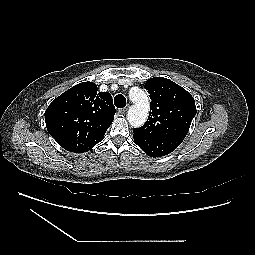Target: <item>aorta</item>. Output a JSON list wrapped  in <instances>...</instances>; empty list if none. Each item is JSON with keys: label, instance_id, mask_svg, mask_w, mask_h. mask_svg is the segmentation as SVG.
Returning a JSON list of instances; mask_svg holds the SVG:
<instances>
[{"label": "aorta", "instance_id": "obj_1", "mask_svg": "<svg viewBox=\"0 0 255 255\" xmlns=\"http://www.w3.org/2000/svg\"><path fill=\"white\" fill-rule=\"evenodd\" d=\"M129 98L133 105L129 108L127 119L132 127H140L147 120L149 113V101L146 93L139 88H132L129 92Z\"/></svg>", "mask_w": 255, "mask_h": 255}]
</instances>
